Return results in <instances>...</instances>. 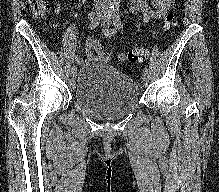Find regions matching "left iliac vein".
I'll return each mask as SVG.
<instances>
[{"label":"left iliac vein","instance_id":"left-iliac-vein-1","mask_svg":"<svg viewBox=\"0 0 219 192\" xmlns=\"http://www.w3.org/2000/svg\"><path fill=\"white\" fill-rule=\"evenodd\" d=\"M113 22V14L111 12H106L102 17V25L110 26ZM143 86L147 85L149 81V74L143 72L142 73Z\"/></svg>","mask_w":219,"mask_h":192}]
</instances>
